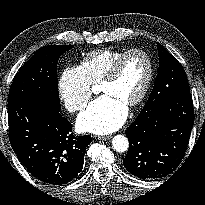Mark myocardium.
<instances>
[{
	"mask_svg": "<svg viewBox=\"0 0 205 205\" xmlns=\"http://www.w3.org/2000/svg\"><path fill=\"white\" fill-rule=\"evenodd\" d=\"M134 54H140L145 56V58L148 61V73H147V77L145 80V83L143 85V88L141 90V92L138 94V96L133 99L132 101H130L127 106L128 107H133V106H137L139 105L146 97L152 80H153V76H154V61L152 56L145 50L143 49H130L128 51H126L125 53H123L110 67L109 71L105 74V76L99 81V86L111 82L113 80H115L117 78V76L119 75V72L121 70V67L123 65V63L125 62V60L134 55Z\"/></svg>",
	"mask_w": 205,
	"mask_h": 205,
	"instance_id": "obj_1",
	"label": "myocardium"
}]
</instances>
